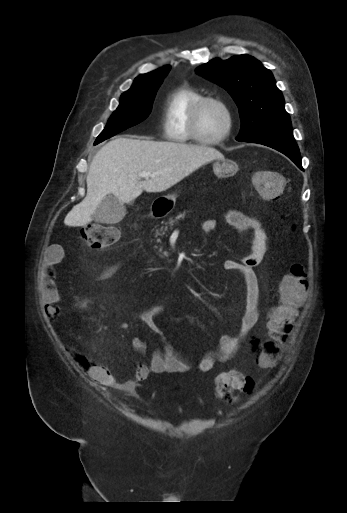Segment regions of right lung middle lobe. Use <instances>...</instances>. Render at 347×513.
<instances>
[{
	"mask_svg": "<svg viewBox=\"0 0 347 513\" xmlns=\"http://www.w3.org/2000/svg\"><path fill=\"white\" fill-rule=\"evenodd\" d=\"M162 81L151 82L124 92L117 110L97 137L96 144L143 121L151 112L156 92Z\"/></svg>",
	"mask_w": 347,
	"mask_h": 513,
	"instance_id": "1",
	"label": "right lung middle lobe"
}]
</instances>
